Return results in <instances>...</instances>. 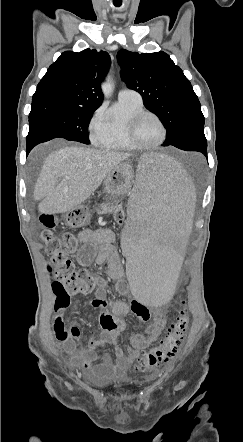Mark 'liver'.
Segmentation results:
<instances>
[{"label":"liver","mask_w":243,"mask_h":442,"mask_svg":"<svg viewBox=\"0 0 243 442\" xmlns=\"http://www.w3.org/2000/svg\"><path fill=\"white\" fill-rule=\"evenodd\" d=\"M130 154L89 147H64L49 154L35 185L39 211L65 213L87 200ZM61 179L58 183V179Z\"/></svg>","instance_id":"obj_1"}]
</instances>
